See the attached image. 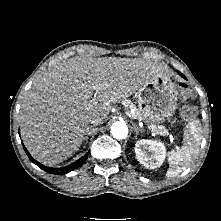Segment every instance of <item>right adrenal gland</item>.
<instances>
[{
	"label": "right adrenal gland",
	"mask_w": 221,
	"mask_h": 221,
	"mask_svg": "<svg viewBox=\"0 0 221 221\" xmlns=\"http://www.w3.org/2000/svg\"><path fill=\"white\" fill-rule=\"evenodd\" d=\"M89 129V128H88ZM84 140H85V145L88 143V136H85L84 137Z\"/></svg>",
	"instance_id": "2a0ac1e0"
}]
</instances>
